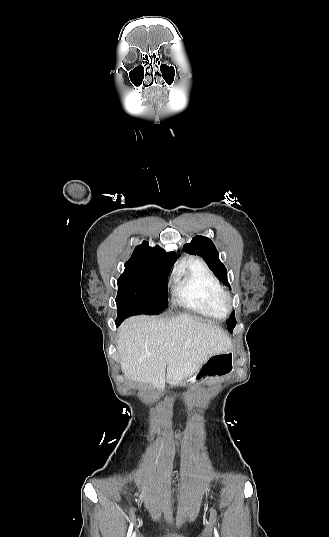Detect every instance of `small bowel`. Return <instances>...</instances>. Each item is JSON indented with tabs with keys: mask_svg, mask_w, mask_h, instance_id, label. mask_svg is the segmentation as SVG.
<instances>
[{
	"mask_svg": "<svg viewBox=\"0 0 329 537\" xmlns=\"http://www.w3.org/2000/svg\"><path fill=\"white\" fill-rule=\"evenodd\" d=\"M172 478H173L174 481H178L177 474H174ZM172 492H173V496H176V494H177L176 486L173 488ZM137 502H138V504H140L141 503L140 499H137Z\"/></svg>",
	"mask_w": 329,
	"mask_h": 537,
	"instance_id": "small-bowel-1",
	"label": "small bowel"
}]
</instances>
